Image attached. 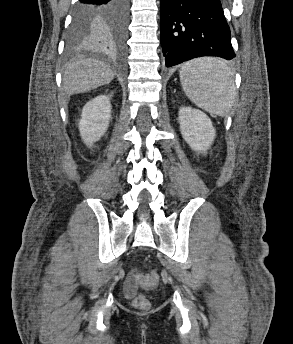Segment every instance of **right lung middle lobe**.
<instances>
[{
  "label": "right lung middle lobe",
  "mask_w": 293,
  "mask_h": 344,
  "mask_svg": "<svg viewBox=\"0 0 293 344\" xmlns=\"http://www.w3.org/2000/svg\"><path fill=\"white\" fill-rule=\"evenodd\" d=\"M92 25L93 20L88 14L75 10L68 36L69 47L75 48L90 45Z\"/></svg>",
  "instance_id": "1"
}]
</instances>
